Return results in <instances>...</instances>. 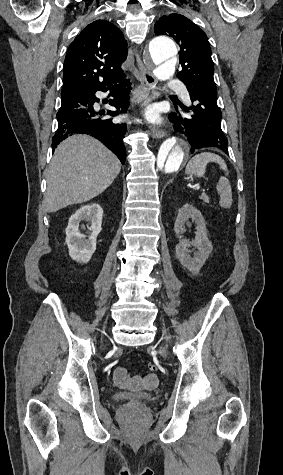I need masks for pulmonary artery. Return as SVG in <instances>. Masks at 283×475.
<instances>
[{
    "label": "pulmonary artery",
    "instance_id": "e3ab8cb5",
    "mask_svg": "<svg viewBox=\"0 0 283 475\" xmlns=\"http://www.w3.org/2000/svg\"><path fill=\"white\" fill-rule=\"evenodd\" d=\"M174 86L177 88V95L183 96L186 101H189L188 88L184 87L180 82H175Z\"/></svg>",
    "mask_w": 283,
    "mask_h": 475
}]
</instances>
